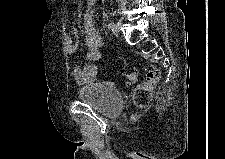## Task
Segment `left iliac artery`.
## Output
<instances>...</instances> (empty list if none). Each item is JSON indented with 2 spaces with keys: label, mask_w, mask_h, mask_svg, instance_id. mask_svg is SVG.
Returning <instances> with one entry per match:
<instances>
[{
  "label": "left iliac artery",
  "mask_w": 225,
  "mask_h": 159,
  "mask_svg": "<svg viewBox=\"0 0 225 159\" xmlns=\"http://www.w3.org/2000/svg\"><path fill=\"white\" fill-rule=\"evenodd\" d=\"M113 27H114V23H113V22H110V23L108 24V28H109L110 30H113Z\"/></svg>",
  "instance_id": "obj_1"
}]
</instances>
